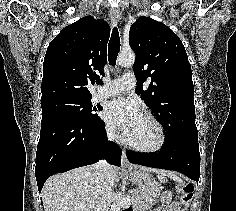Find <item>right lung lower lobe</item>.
<instances>
[{
	"label": "right lung lower lobe",
	"instance_id": "98d812e1",
	"mask_svg": "<svg viewBox=\"0 0 236 211\" xmlns=\"http://www.w3.org/2000/svg\"><path fill=\"white\" fill-rule=\"evenodd\" d=\"M106 143L104 121L88 123L65 117L41 120L35 175L41 192L46 179L56 173L96 163L103 157L120 166L122 151L114 142Z\"/></svg>",
	"mask_w": 236,
	"mask_h": 211
}]
</instances>
